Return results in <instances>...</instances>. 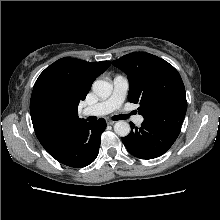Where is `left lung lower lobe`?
Returning <instances> with one entry per match:
<instances>
[{"label":"left lung lower lobe","instance_id":"1","mask_svg":"<svg viewBox=\"0 0 220 220\" xmlns=\"http://www.w3.org/2000/svg\"><path fill=\"white\" fill-rule=\"evenodd\" d=\"M183 119L173 116L144 118L140 128L130 123L131 132L122 138L127 150L135 157L153 159L164 154L177 139Z\"/></svg>","mask_w":220,"mask_h":220}]
</instances>
